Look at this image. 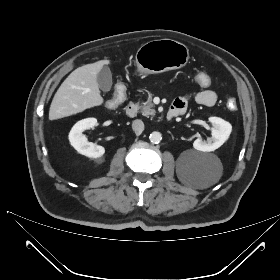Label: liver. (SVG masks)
<instances>
[{
    "label": "liver",
    "instance_id": "1",
    "mask_svg": "<svg viewBox=\"0 0 280 280\" xmlns=\"http://www.w3.org/2000/svg\"><path fill=\"white\" fill-rule=\"evenodd\" d=\"M110 60H100L75 69L61 84L49 109V120L80 113L103 103L97 74Z\"/></svg>",
    "mask_w": 280,
    "mask_h": 280
}]
</instances>
